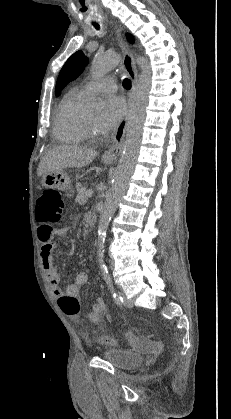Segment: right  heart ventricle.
Returning a JSON list of instances; mask_svg holds the SVG:
<instances>
[{"label": "right heart ventricle", "instance_id": "1", "mask_svg": "<svg viewBox=\"0 0 231 419\" xmlns=\"http://www.w3.org/2000/svg\"><path fill=\"white\" fill-rule=\"evenodd\" d=\"M85 93L81 90L70 91L57 107L54 124V138L66 144H80L87 136L83 128V102Z\"/></svg>", "mask_w": 231, "mask_h": 419}]
</instances>
